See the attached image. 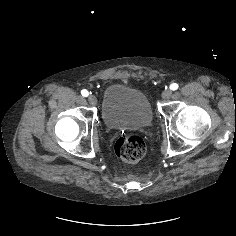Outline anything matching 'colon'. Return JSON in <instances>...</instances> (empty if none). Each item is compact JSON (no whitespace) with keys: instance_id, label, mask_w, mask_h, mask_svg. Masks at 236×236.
<instances>
[{"instance_id":"5ec220e1","label":"colon","mask_w":236,"mask_h":236,"mask_svg":"<svg viewBox=\"0 0 236 236\" xmlns=\"http://www.w3.org/2000/svg\"><path fill=\"white\" fill-rule=\"evenodd\" d=\"M117 156L126 163H137L146 153L145 140L137 134H126L115 143Z\"/></svg>"}]
</instances>
